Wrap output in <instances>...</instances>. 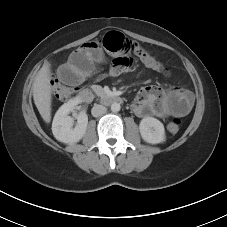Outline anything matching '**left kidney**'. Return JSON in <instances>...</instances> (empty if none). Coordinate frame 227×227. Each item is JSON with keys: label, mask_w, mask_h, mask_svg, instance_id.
Here are the masks:
<instances>
[{"label": "left kidney", "mask_w": 227, "mask_h": 227, "mask_svg": "<svg viewBox=\"0 0 227 227\" xmlns=\"http://www.w3.org/2000/svg\"><path fill=\"white\" fill-rule=\"evenodd\" d=\"M139 129L142 139L147 143L158 144L166 140L164 125L156 118H143Z\"/></svg>", "instance_id": "left-kidney-1"}]
</instances>
